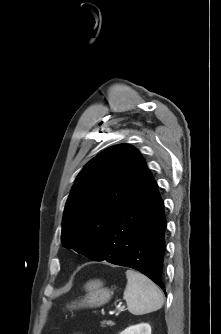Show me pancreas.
I'll use <instances>...</instances> for the list:
<instances>
[{
  "label": "pancreas",
  "instance_id": "pancreas-1",
  "mask_svg": "<svg viewBox=\"0 0 221 334\" xmlns=\"http://www.w3.org/2000/svg\"><path fill=\"white\" fill-rule=\"evenodd\" d=\"M101 324H102V326H105V325L113 326L114 322L113 321H102Z\"/></svg>",
  "mask_w": 221,
  "mask_h": 334
}]
</instances>
